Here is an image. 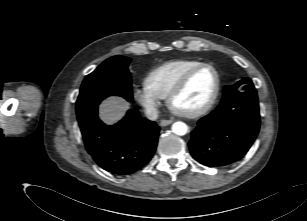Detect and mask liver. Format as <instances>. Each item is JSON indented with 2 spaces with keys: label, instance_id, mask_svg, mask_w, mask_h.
<instances>
[{
  "label": "liver",
  "instance_id": "obj_1",
  "mask_svg": "<svg viewBox=\"0 0 307 221\" xmlns=\"http://www.w3.org/2000/svg\"><path fill=\"white\" fill-rule=\"evenodd\" d=\"M130 108V104L123 98L113 96L100 105V118L108 125L119 121Z\"/></svg>",
  "mask_w": 307,
  "mask_h": 221
}]
</instances>
